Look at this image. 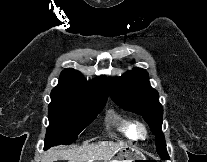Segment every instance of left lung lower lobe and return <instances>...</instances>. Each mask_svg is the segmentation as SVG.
Here are the masks:
<instances>
[{
  "instance_id": "0a47b994",
  "label": "left lung lower lobe",
  "mask_w": 207,
  "mask_h": 162,
  "mask_svg": "<svg viewBox=\"0 0 207 162\" xmlns=\"http://www.w3.org/2000/svg\"><path fill=\"white\" fill-rule=\"evenodd\" d=\"M169 159V157H167V158H163L162 160H168Z\"/></svg>"
}]
</instances>
